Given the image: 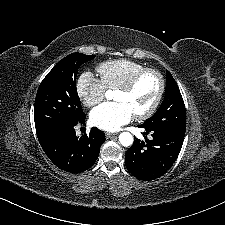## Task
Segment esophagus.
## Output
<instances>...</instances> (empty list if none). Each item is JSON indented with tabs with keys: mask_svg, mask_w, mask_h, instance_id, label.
<instances>
[{
	"mask_svg": "<svg viewBox=\"0 0 225 225\" xmlns=\"http://www.w3.org/2000/svg\"><path fill=\"white\" fill-rule=\"evenodd\" d=\"M115 135H116V133L106 132V137H107V138L113 137V136H115Z\"/></svg>",
	"mask_w": 225,
	"mask_h": 225,
	"instance_id": "1",
	"label": "esophagus"
}]
</instances>
